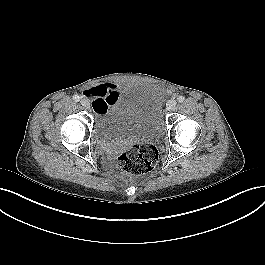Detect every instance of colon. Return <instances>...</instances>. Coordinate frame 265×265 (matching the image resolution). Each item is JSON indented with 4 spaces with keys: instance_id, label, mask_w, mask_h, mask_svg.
I'll return each mask as SVG.
<instances>
[{
    "instance_id": "1",
    "label": "colon",
    "mask_w": 265,
    "mask_h": 265,
    "mask_svg": "<svg viewBox=\"0 0 265 265\" xmlns=\"http://www.w3.org/2000/svg\"><path fill=\"white\" fill-rule=\"evenodd\" d=\"M159 160L158 149L150 143L134 144L127 147L117 158L123 179L143 175L154 170Z\"/></svg>"
}]
</instances>
